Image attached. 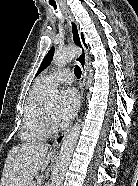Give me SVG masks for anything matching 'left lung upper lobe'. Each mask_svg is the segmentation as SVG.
<instances>
[{"instance_id":"obj_1","label":"left lung upper lobe","mask_w":138,"mask_h":186,"mask_svg":"<svg viewBox=\"0 0 138 186\" xmlns=\"http://www.w3.org/2000/svg\"><path fill=\"white\" fill-rule=\"evenodd\" d=\"M81 37H82V40H84V37H83V34H81ZM85 44V43H84ZM86 46V44H85ZM87 47V46H86ZM53 54H54V47H52L49 52L47 53V55L45 56L36 76L38 74H40L50 63H51V60L53 58Z\"/></svg>"}]
</instances>
